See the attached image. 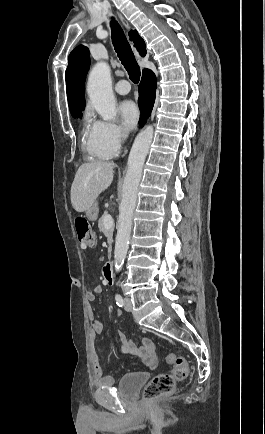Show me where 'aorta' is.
Wrapping results in <instances>:
<instances>
[{"label": "aorta", "mask_w": 265, "mask_h": 434, "mask_svg": "<svg viewBox=\"0 0 265 434\" xmlns=\"http://www.w3.org/2000/svg\"><path fill=\"white\" fill-rule=\"evenodd\" d=\"M86 90L91 104H93L101 118L103 120H115L117 116L116 102L112 92L111 70L108 64H105V62L95 64L89 74ZM153 136L154 130L152 126H147L145 130H142L136 136L130 150L117 222L118 228L114 252L115 272H120L127 256L138 186Z\"/></svg>", "instance_id": "1"}]
</instances>
